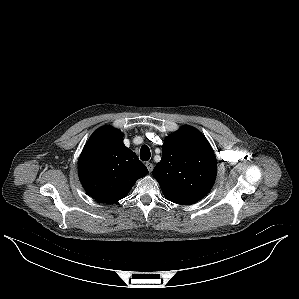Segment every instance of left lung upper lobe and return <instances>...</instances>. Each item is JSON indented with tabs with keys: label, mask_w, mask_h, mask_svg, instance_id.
<instances>
[{
	"label": "left lung upper lobe",
	"mask_w": 299,
	"mask_h": 299,
	"mask_svg": "<svg viewBox=\"0 0 299 299\" xmlns=\"http://www.w3.org/2000/svg\"><path fill=\"white\" fill-rule=\"evenodd\" d=\"M152 174L169 201L192 204L211 190L217 174L216 158L205 136L185 125L165 139L162 159Z\"/></svg>",
	"instance_id": "1"
}]
</instances>
